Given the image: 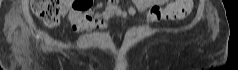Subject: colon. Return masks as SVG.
<instances>
[{"instance_id":"colon-1","label":"colon","mask_w":238,"mask_h":70,"mask_svg":"<svg viewBox=\"0 0 238 70\" xmlns=\"http://www.w3.org/2000/svg\"><path fill=\"white\" fill-rule=\"evenodd\" d=\"M112 2L115 1L112 0ZM175 3L177 4L169 10V14L174 18H184L191 12L192 0H175ZM31 7L34 14L49 27L57 26L66 12L61 0H32Z\"/></svg>"}]
</instances>
